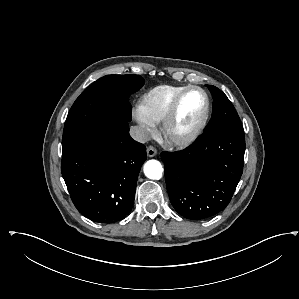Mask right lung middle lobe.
<instances>
[{
	"label": "right lung middle lobe",
	"mask_w": 299,
	"mask_h": 299,
	"mask_svg": "<svg viewBox=\"0 0 299 299\" xmlns=\"http://www.w3.org/2000/svg\"><path fill=\"white\" fill-rule=\"evenodd\" d=\"M144 84L139 75H107L91 84L74 102L67 116L62 151L83 136L113 119L131 120L130 93Z\"/></svg>",
	"instance_id": "1"
}]
</instances>
